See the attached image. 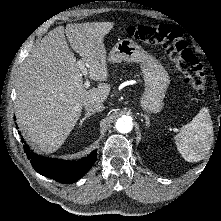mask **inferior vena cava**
<instances>
[{
    "instance_id": "1",
    "label": "inferior vena cava",
    "mask_w": 221,
    "mask_h": 221,
    "mask_svg": "<svg viewBox=\"0 0 221 221\" xmlns=\"http://www.w3.org/2000/svg\"><path fill=\"white\" fill-rule=\"evenodd\" d=\"M84 108L87 111H92V112H101L104 110V105L102 102L97 101V100H90L84 104Z\"/></svg>"
}]
</instances>
